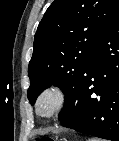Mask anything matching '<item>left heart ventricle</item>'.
<instances>
[{
    "label": "left heart ventricle",
    "mask_w": 119,
    "mask_h": 141,
    "mask_svg": "<svg viewBox=\"0 0 119 141\" xmlns=\"http://www.w3.org/2000/svg\"><path fill=\"white\" fill-rule=\"evenodd\" d=\"M50 107H51L50 101L46 100V101H44V102L42 103V105H41V111H42L43 113H45V112L49 111Z\"/></svg>",
    "instance_id": "obj_1"
}]
</instances>
